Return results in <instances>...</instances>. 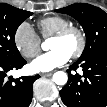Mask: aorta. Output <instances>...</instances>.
I'll use <instances>...</instances> for the list:
<instances>
[{
    "label": "aorta",
    "instance_id": "obj_1",
    "mask_svg": "<svg viewBox=\"0 0 107 107\" xmlns=\"http://www.w3.org/2000/svg\"><path fill=\"white\" fill-rule=\"evenodd\" d=\"M42 49L47 51L49 49L47 42H44L42 44ZM68 76L65 72L63 71H57L53 74V81L57 85H65L67 83Z\"/></svg>",
    "mask_w": 107,
    "mask_h": 107
}]
</instances>
